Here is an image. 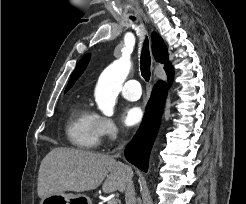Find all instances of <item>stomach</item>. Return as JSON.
<instances>
[{
    "mask_svg": "<svg viewBox=\"0 0 246 204\" xmlns=\"http://www.w3.org/2000/svg\"><path fill=\"white\" fill-rule=\"evenodd\" d=\"M40 204H92V201L83 194L58 193L43 198Z\"/></svg>",
    "mask_w": 246,
    "mask_h": 204,
    "instance_id": "1",
    "label": "stomach"
}]
</instances>
